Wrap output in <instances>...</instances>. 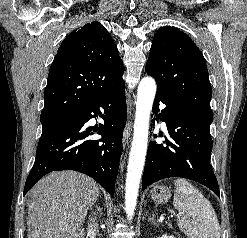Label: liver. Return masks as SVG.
<instances>
[{"label": "liver", "mask_w": 247, "mask_h": 238, "mask_svg": "<svg viewBox=\"0 0 247 238\" xmlns=\"http://www.w3.org/2000/svg\"><path fill=\"white\" fill-rule=\"evenodd\" d=\"M99 186L75 171L52 172L32 189L28 207V238H80L88 209Z\"/></svg>", "instance_id": "obj_1"}]
</instances>
